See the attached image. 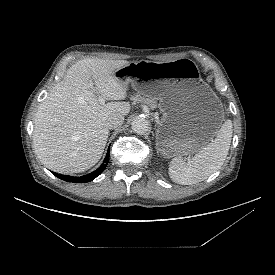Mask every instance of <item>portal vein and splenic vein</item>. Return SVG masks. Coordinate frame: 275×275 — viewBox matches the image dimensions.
<instances>
[{
	"label": "portal vein and splenic vein",
	"mask_w": 275,
	"mask_h": 275,
	"mask_svg": "<svg viewBox=\"0 0 275 275\" xmlns=\"http://www.w3.org/2000/svg\"><path fill=\"white\" fill-rule=\"evenodd\" d=\"M90 87L93 90V92L98 95L99 103L102 104V105L105 104V99L98 94L97 89L94 87V83H93L92 80H90Z\"/></svg>",
	"instance_id": "1"
}]
</instances>
